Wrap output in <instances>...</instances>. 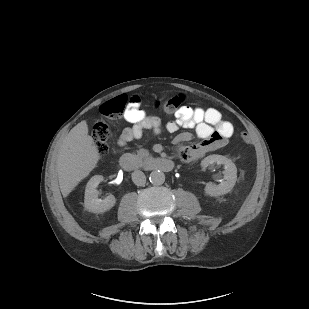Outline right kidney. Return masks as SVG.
<instances>
[{
  "instance_id": "right-kidney-1",
  "label": "right kidney",
  "mask_w": 309,
  "mask_h": 309,
  "mask_svg": "<svg viewBox=\"0 0 309 309\" xmlns=\"http://www.w3.org/2000/svg\"><path fill=\"white\" fill-rule=\"evenodd\" d=\"M103 181V176L95 175L87 183L85 189V208L94 213H103L110 210L116 203L114 195L110 194L105 199L98 198V190L96 189L100 182Z\"/></svg>"
}]
</instances>
